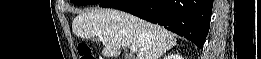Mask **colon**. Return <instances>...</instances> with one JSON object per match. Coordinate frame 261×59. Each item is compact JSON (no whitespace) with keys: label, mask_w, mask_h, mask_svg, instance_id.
<instances>
[{"label":"colon","mask_w":261,"mask_h":59,"mask_svg":"<svg viewBox=\"0 0 261 59\" xmlns=\"http://www.w3.org/2000/svg\"><path fill=\"white\" fill-rule=\"evenodd\" d=\"M80 59H95L91 48L88 45L82 44L78 47Z\"/></svg>","instance_id":"obj_1"}]
</instances>
